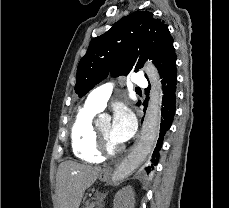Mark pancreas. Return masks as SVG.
Segmentation results:
<instances>
[{"label": "pancreas", "instance_id": "pancreas-1", "mask_svg": "<svg viewBox=\"0 0 229 208\" xmlns=\"http://www.w3.org/2000/svg\"><path fill=\"white\" fill-rule=\"evenodd\" d=\"M95 206V202H93V204H90V206H88V208H94ZM83 208H87V206H83Z\"/></svg>", "mask_w": 229, "mask_h": 208}]
</instances>
